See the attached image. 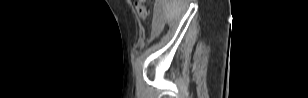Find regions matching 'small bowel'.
Returning a JSON list of instances; mask_svg holds the SVG:
<instances>
[{
	"instance_id": "1",
	"label": "small bowel",
	"mask_w": 308,
	"mask_h": 98,
	"mask_svg": "<svg viewBox=\"0 0 308 98\" xmlns=\"http://www.w3.org/2000/svg\"><path fill=\"white\" fill-rule=\"evenodd\" d=\"M158 29H153V37H155L158 34Z\"/></svg>"
}]
</instances>
